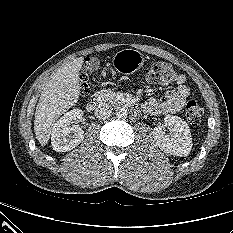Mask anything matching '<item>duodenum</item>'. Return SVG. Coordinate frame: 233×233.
<instances>
[{
  "instance_id": "410a0bca",
  "label": "duodenum",
  "mask_w": 233,
  "mask_h": 233,
  "mask_svg": "<svg viewBox=\"0 0 233 233\" xmlns=\"http://www.w3.org/2000/svg\"><path fill=\"white\" fill-rule=\"evenodd\" d=\"M125 103L134 113H138L141 111V108L136 104L130 101H127ZM98 105H99V98L93 95L87 100L86 108L88 111H94L98 107Z\"/></svg>"
}]
</instances>
